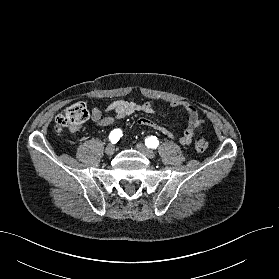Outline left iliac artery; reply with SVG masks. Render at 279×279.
<instances>
[{
    "mask_svg": "<svg viewBox=\"0 0 279 279\" xmlns=\"http://www.w3.org/2000/svg\"><path fill=\"white\" fill-rule=\"evenodd\" d=\"M145 144L149 148L156 149L159 145V141L155 136H150V137L146 138Z\"/></svg>",
    "mask_w": 279,
    "mask_h": 279,
    "instance_id": "1",
    "label": "left iliac artery"
}]
</instances>
